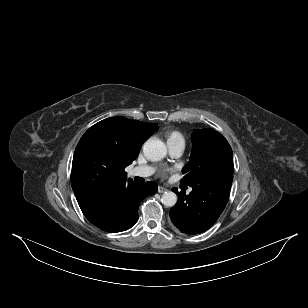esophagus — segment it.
<instances>
[{
    "instance_id": "1",
    "label": "esophagus",
    "mask_w": 308,
    "mask_h": 308,
    "mask_svg": "<svg viewBox=\"0 0 308 308\" xmlns=\"http://www.w3.org/2000/svg\"><path fill=\"white\" fill-rule=\"evenodd\" d=\"M166 191H167V189H166L165 187L158 186V192H159V193H164V192H166Z\"/></svg>"
}]
</instances>
